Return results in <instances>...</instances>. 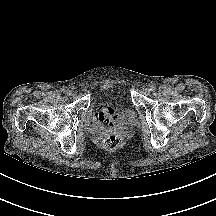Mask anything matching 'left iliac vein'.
Segmentation results:
<instances>
[{"mask_svg":"<svg viewBox=\"0 0 216 216\" xmlns=\"http://www.w3.org/2000/svg\"><path fill=\"white\" fill-rule=\"evenodd\" d=\"M144 92H145L146 94H149V93L151 92L150 86L145 87V88H144Z\"/></svg>","mask_w":216,"mask_h":216,"instance_id":"4c4485c4","label":"left iliac vein"}]
</instances>
